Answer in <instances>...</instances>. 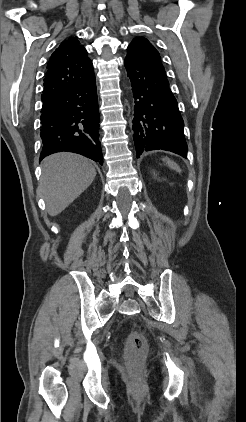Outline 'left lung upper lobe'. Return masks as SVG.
Segmentation results:
<instances>
[{
	"instance_id": "obj_1",
	"label": "left lung upper lobe",
	"mask_w": 246,
	"mask_h": 422,
	"mask_svg": "<svg viewBox=\"0 0 246 422\" xmlns=\"http://www.w3.org/2000/svg\"><path fill=\"white\" fill-rule=\"evenodd\" d=\"M132 48L146 61H148L153 68L166 76L165 69L161 63L160 55L155 47L144 37H136L133 39L127 49Z\"/></svg>"
}]
</instances>
